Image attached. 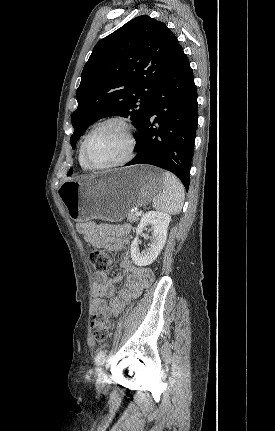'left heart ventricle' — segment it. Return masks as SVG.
<instances>
[{
	"mask_svg": "<svg viewBox=\"0 0 275 431\" xmlns=\"http://www.w3.org/2000/svg\"><path fill=\"white\" fill-rule=\"evenodd\" d=\"M128 150V136L125 129L117 123L107 124L90 137L86 154L95 165H104L121 160Z\"/></svg>",
	"mask_w": 275,
	"mask_h": 431,
	"instance_id": "b2bd125f",
	"label": "left heart ventricle"
}]
</instances>
